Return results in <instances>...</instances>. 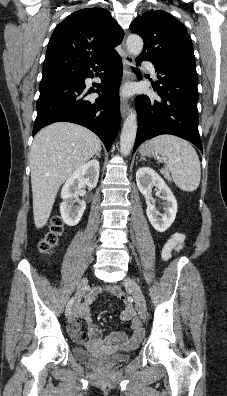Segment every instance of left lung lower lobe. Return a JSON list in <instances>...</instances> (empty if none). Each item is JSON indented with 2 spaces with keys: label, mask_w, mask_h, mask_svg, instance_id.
<instances>
[{
  "label": "left lung lower lobe",
  "mask_w": 227,
  "mask_h": 396,
  "mask_svg": "<svg viewBox=\"0 0 227 396\" xmlns=\"http://www.w3.org/2000/svg\"><path fill=\"white\" fill-rule=\"evenodd\" d=\"M145 60L138 58L140 62ZM154 64V63H153ZM155 65L162 87L155 88L158 98L138 96V131L134 152L147 139L162 134H172L192 142L202 151L198 131V77L180 68Z\"/></svg>",
  "instance_id": "0a47b994"
}]
</instances>
